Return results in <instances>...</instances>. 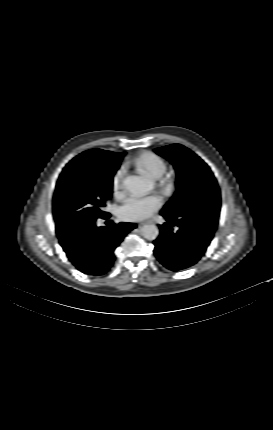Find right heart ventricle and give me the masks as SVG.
<instances>
[{"mask_svg":"<svg viewBox=\"0 0 273 430\" xmlns=\"http://www.w3.org/2000/svg\"><path fill=\"white\" fill-rule=\"evenodd\" d=\"M132 164L155 179L162 177L167 170V164L164 159L150 151L143 152L136 156L132 160Z\"/></svg>","mask_w":273,"mask_h":430,"instance_id":"right-heart-ventricle-1","label":"right heart ventricle"}]
</instances>
